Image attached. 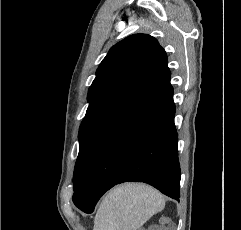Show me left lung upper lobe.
<instances>
[{
	"instance_id": "5c2ea615",
	"label": "left lung upper lobe",
	"mask_w": 241,
	"mask_h": 230,
	"mask_svg": "<svg viewBox=\"0 0 241 230\" xmlns=\"http://www.w3.org/2000/svg\"><path fill=\"white\" fill-rule=\"evenodd\" d=\"M96 75L79 129L74 204L81 199L88 169L98 152L162 90L171 73L158 41L150 35L134 34L109 50Z\"/></svg>"
}]
</instances>
